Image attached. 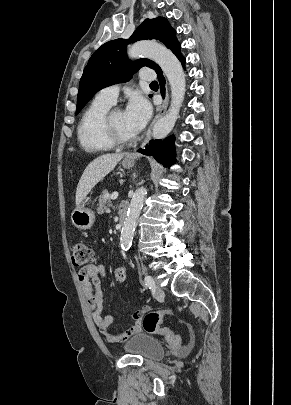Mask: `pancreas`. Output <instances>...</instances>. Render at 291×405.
Segmentation results:
<instances>
[{
	"mask_svg": "<svg viewBox=\"0 0 291 405\" xmlns=\"http://www.w3.org/2000/svg\"><path fill=\"white\" fill-rule=\"evenodd\" d=\"M99 203H98V208H97V212L98 214H103L105 212V210H107V206H110V198L108 196V192L106 190H104L102 192V194L99 196Z\"/></svg>",
	"mask_w": 291,
	"mask_h": 405,
	"instance_id": "cf45deb5",
	"label": "pancreas"
}]
</instances>
